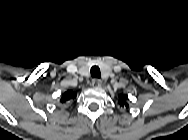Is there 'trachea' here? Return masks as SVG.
<instances>
[{"label":"trachea","mask_w":188,"mask_h":140,"mask_svg":"<svg viewBox=\"0 0 188 140\" xmlns=\"http://www.w3.org/2000/svg\"><path fill=\"white\" fill-rule=\"evenodd\" d=\"M91 76L93 78H100L101 77V72L98 66H93L90 70Z\"/></svg>","instance_id":"1"}]
</instances>
